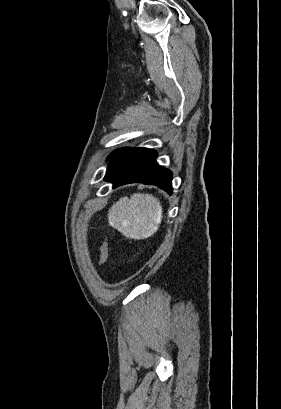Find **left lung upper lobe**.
I'll use <instances>...</instances> for the list:
<instances>
[{"label":"left lung upper lobe","mask_w":281,"mask_h":409,"mask_svg":"<svg viewBox=\"0 0 281 409\" xmlns=\"http://www.w3.org/2000/svg\"><path fill=\"white\" fill-rule=\"evenodd\" d=\"M127 149H128V148H121V149H118V150L114 151V152L108 157V159H113V158H115L116 156H118V155L121 154L122 152L126 151Z\"/></svg>","instance_id":"left-lung-upper-lobe-1"}]
</instances>
